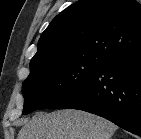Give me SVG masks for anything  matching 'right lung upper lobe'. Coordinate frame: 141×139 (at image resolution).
I'll list each match as a JSON object with an SVG mask.
<instances>
[{"label":"right lung upper lobe","instance_id":"right-lung-upper-lobe-1","mask_svg":"<svg viewBox=\"0 0 141 139\" xmlns=\"http://www.w3.org/2000/svg\"><path fill=\"white\" fill-rule=\"evenodd\" d=\"M141 44V4L136 0H80L42 33L30 69L84 56L109 59Z\"/></svg>","mask_w":141,"mask_h":139}]
</instances>
